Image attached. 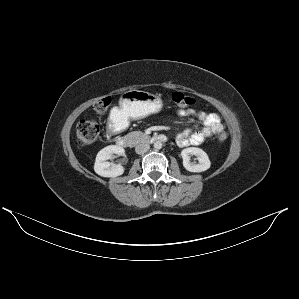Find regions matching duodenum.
Instances as JSON below:
<instances>
[{"mask_svg":"<svg viewBox=\"0 0 299 299\" xmlns=\"http://www.w3.org/2000/svg\"><path fill=\"white\" fill-rule=\"evenodd\" d=\"M117 122L115 120H112L108 123V126H107V131L109 133H115L117 131ZM167 138L165 135H162V134H159V135H154L150 138V141L151 142H164L166 141ZM118 145L120 147H124V148H127L130 146V140L128 137H120L119 140H118Z\"/></svg>","mask_w":299,"mask_h":299,"instance_id":"1","label":"duodenum"}]
</instances>
